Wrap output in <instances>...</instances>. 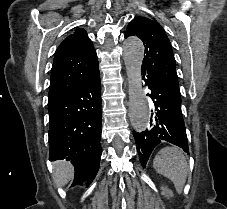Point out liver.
<instances>
[{
  "label": "liver",
  "instance_id": "1",
  "mask_svg": "<svg viewBox=\"0 0 227 209\" xmlns=\"http://www.w3.org/2000/svg\"><path fill=\"white\" fill-rule=\"evenodd\" d=\"M54 179L58 187H63L68 183L70 177L73 175V167L70 163H64V161H55L53 165Z\"/></svg>",
  "mask_w": 227,
  "mask_h": 209
}]
</instances>
